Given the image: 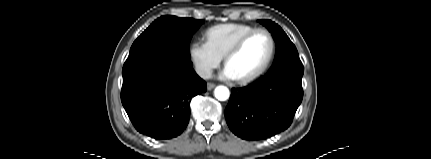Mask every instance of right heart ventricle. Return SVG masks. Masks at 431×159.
<instances>
[{
  "label": "right heart ventricle",
  "mask_w": 431,
  "mask_h": 159,
  "mask_svg": "<svg viewBox=\"0 0 431 159\" xmlns=\"http://www.w3.org/2000/svg\"><path fill=\"white\" fill-rule=\"evenodd\" d=\"M254 29L255 27L247 24L225 23L209 28L205 36L214 51L223 58L244 34Z\"/></svg>",
  "instance_id": "obj_1"
}]
</instances>
